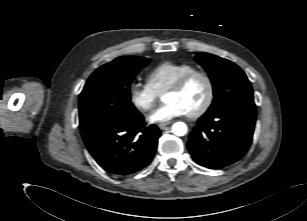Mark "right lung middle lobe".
Listing matches in <instances>:
<instances>
[{
	"instance_id": "1",
	"label": "right lung middle lobe",
	"mask_w": 307,
	"mask_h": 221,
	"mask_svg": "<svg viewBox=\"0 0 307 221\" xmlns=\"http://www.w3.org/2000/svg\"><path fill=\"white\" fill-rule=\"evenodd\" d=\"M150 59L123 56L99 67L79 96L80 131L113 120H124L138 110L131 103L130 84Z\"/></svg>"
}]
</instances>
